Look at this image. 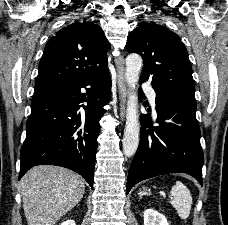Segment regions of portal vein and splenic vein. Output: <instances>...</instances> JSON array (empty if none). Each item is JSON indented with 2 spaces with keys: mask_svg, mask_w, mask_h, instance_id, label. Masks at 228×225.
Masks as SVG:
<instances>
[{
  "mask_svg": "<svg viewBox=\"0 0 228 225\" xmlns=\"http://www.w3.org/2000/svg\"><path fill=\"white\" fill-rule=\"evenodd\" d=\"M160 199H161V200H165V199H166V196H165V195H161V196H160ZM164 202H165V201H164Z\"/></svg>",
  "mask_w": 228,
  "mask_h": 225,
  "instance_id": "18ae733b",
  "label": "portal vein and splenic vein"
}]
</instances>
